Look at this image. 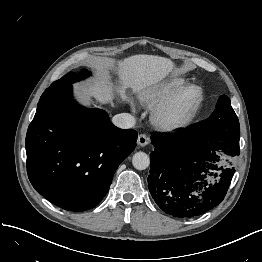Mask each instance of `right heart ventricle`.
<instances>
[{
	"label": "right heart ventricle",
	"mask_w": 262,
	"mask_h": 262,
	"mask_svg": "<svg viewBox=\"0 0 262 262\" xmlns=\"http://www.w3.org/2000/svg\"><path fill=\"white\" fill-rule=\"evenodd\" d=\"M186 83L184 77H171L141 94V100L146 104L161 103L174 94L181 86Z\"/></svg>",
	"instance_id": "e07e8e85"
}]
</instances>
